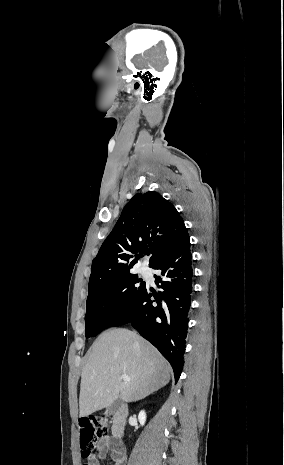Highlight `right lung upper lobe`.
Instances as JSON below:
<instances>
[{
  "label": "right lung upper lobe",
  "instance_id": "obj_1",
  "mask_svg": "<svg viewBox=\"0 0 284 465\" xmlns=\"http://www.w3.org/2000/svg\"><path fill=\"white\" fill-rule=\"evenodd\" d=\"M188 238L183 219L172 203L157 192L136 194L92 262L89 290L130 275L143 254L151 255L152 268Z\"/></svg>",
  "mask_w": 284,
  "mask_h": 465
}]
</instances>
